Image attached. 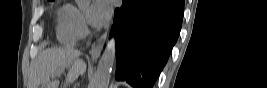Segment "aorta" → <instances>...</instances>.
Segmentation results:
<instances>
[{
    "mask_svg": "<svg viewBox=\"0 0 267 88\" xmlns=\"http://www.w3.org/2000/svg\"><path fill=\"white\" fill-rule=\"evenodd\" d=\"M77 4L80 6H87L90 3V0H76ZM116 55V48H115V39L111 38L107 46L100 58L98 63L97 71L94 75V79L91 83L90 88H107L112 67L114 65Z\"/></svg>",
    "mask_w": 267,
    "mask_h": 88,
    "instance_id": "obj_1",
    "label": "aorta"
}]
</instances>
